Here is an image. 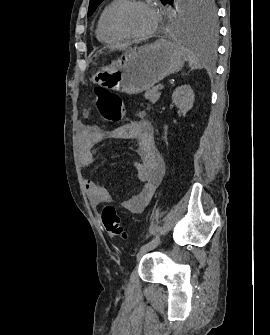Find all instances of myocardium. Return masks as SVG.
Segmentation results:
<instances>
[{
    "mask_svg": "<svg viewBox=\"0 0 270 335\" xmlns=\"http://www.w3.org/2000/svg\"><path fill=\"white\" fill-rule=\"evenodd\" d=\"M143 7V8H146L148 9L144 4L143 2H140V1H130V2H125L123 3L122 5H120L112 14L111 16V20H110V23H111V27L112 29L114 30V32L118 35H120L121 37L123 38H128V39H143V38H147L149 35H151V33L153 32L154 28H155V25L154 27L147 33L145 34H140V35H137V34H132L130 33L128 30H126L123 26V15L125 14V12L131 8V7ZM139 78H150V77H139Z\"/></svg>",
    "mask_w": 270,
    "mask_h": 335,
    "instance_id": "myocardium-1",
    "label": "myocardium"
}]
</instances>
